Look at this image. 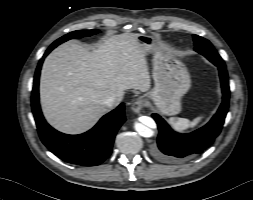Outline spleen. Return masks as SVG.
I'll list each match as a JSON object with an SVG mask.
<instances>
[{
	"mask_svg": "<svg viewBox=\"0 0 253 200\" xmlns=\"http://www.w3.org/2000/svg\"><path fill=\"white\" fill-rule=\"evenodd\" d=\"M203 117H197L193 121L185 118H170L169 123L172 127L178 131H185L190 128L196 127L202 120Z\"/></svg>",
	"mask_w": 253,
	"mask_h": 200,
	"instance_id": "1",
	"label": "spleen"
}]
</instances>
